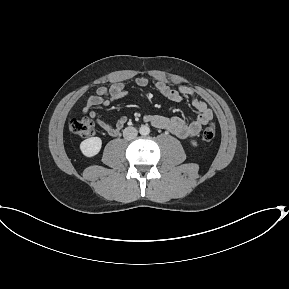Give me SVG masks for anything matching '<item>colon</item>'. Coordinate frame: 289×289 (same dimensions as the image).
Here are the masks:
<instances>
[{
    "instance_id": "1",
    "label": "colon",
    "mask_w": 289,
    "mask_h": 289,
    "mask_svg": "<svg viewBox=\"0 0 289 289\" xmlns=\"http://www.w3.org/2000/svg\"><path fill=\"white\" fill-rule=\"evenodd\" d=\"M69 129L73 134L81 138L90 137L95 132L94 122L87 117L71 119L69 122ZM215 134V125L213 123H208L203 130L202 138L205 141H211L215 137Z\"/></svg>"
}]
</instances>
